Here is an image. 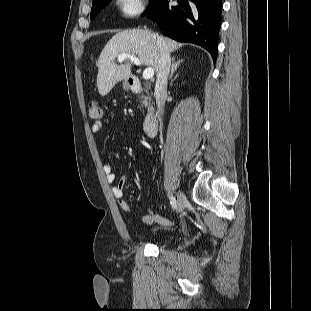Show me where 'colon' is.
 Listing matches in <instances>:
<instances>
[{
    "mask_svg": "<svg viewBox=\"0 0 311 311\" xmlns=\"http://www.w3.org/2000/svg\"><path fill=\"white\" fill-rule=\"evenodd\" d=\"M88 115L94 121H99L103 118V107L99 101L93 100L89 103Z\"/></svg>",
    "mask_w": 311,
    "mask_h": 311,
    "instance_id": "obj_1",
    "label": "colon"
}]
</instances>
